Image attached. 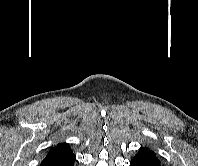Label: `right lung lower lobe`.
Listing matches in <instances>:
<instances>
[{
	"instance_id": "obj_1",
	"label": "right lung lower lobe",
	"mask_w": 198,
	"mask_h": 166,
	"mask_svg": "<svg viewBox=\"0 0 198 166\" xmlns=\"http://www.w3.org/2000/svg\"><path fill=\"white\" fill-rule=\"evenodd\" d=\"M76 157L74 154L56 159H44L40 166H74Z\"/></svg>"
}]
</instances>
